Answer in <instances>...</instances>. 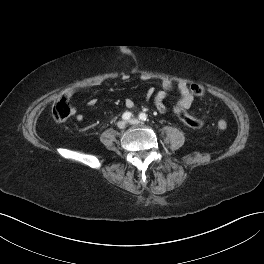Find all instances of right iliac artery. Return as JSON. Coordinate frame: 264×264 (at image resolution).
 Returning <instances> with one entry per match:
<instances>
[{
  "label": "right iliac artery",
  "instance_id": "right-iliac-artery-1",
  "mask_svg": "<svg viewBox=\"0 0 264 264\" xmlns=\"http://www.w3.org/2000/svg\"><path fill=\"white\" fill-rule=\"evenodd\" d=\"M132 116H133L132 113H130V112H125V113L122 115V118H123L124 120H129Z\"/></svg>",
  "mask_w": 264,
  "mask_h": 264
}]
</instances>
